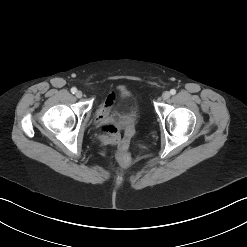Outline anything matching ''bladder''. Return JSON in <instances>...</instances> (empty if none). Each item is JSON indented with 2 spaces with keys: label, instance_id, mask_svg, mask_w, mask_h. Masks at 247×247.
Instances as JSON below:
<instances>
[{
  "label": "bladder",
  "instance_id": "bladder-1",
  "mask_svg": "<svg viewBox=\"0 0 247 247\" xmlns=\"http://www.w3.org/2000/svg\"><path fill=\"white\" fill-rule=\"evenodd\" d=\"M126 92V91H123ZM139 119L138 111H131L119 119V123L123 127H128Z\"/></svg>",
  "mask_w": 247,
  "mask_h": 247
}]
</instances>
